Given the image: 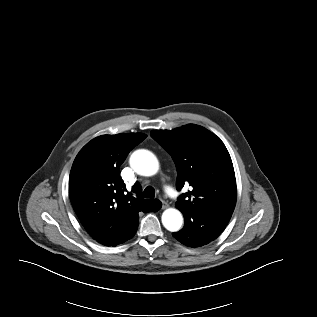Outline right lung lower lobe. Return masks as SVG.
I'll use <instances>...</instances> for the list:
<instances>
[{
    "label": "right lung lower lobe",
    "instance_id": "98d812e1",
    "mask_svg": "<svg viewBox=\"0 0 317 317\" xmlns=\"http://www.w3.org/2000/svg\"><path fill=\"white\" fill-rule=\"evenodd\" d=\"M162 206V203L160 201H158V203H156L149 211L147 212H157ZM138 228V227H137ZM137 228L135 229V231L132 233L131 237L132 238L134 236V234L136 233L137 231ZM93 237V236H92ZM97 242L101 243L102 244V239L100 237H93ZM129 238V239H130Z\"/></svg>",
    "mask_w": 317,
    "mask_h": 317
}]
</instances>
